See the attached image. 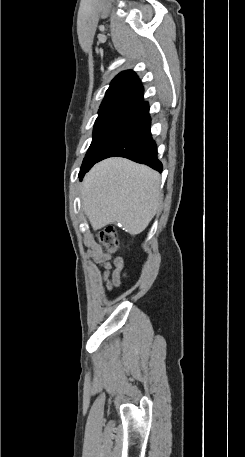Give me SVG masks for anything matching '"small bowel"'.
I'll return each instance as SVG.
<instances>
[{"label":"small bowel","mask_w":245,"mask_h":457,"mask_svg":"<svg viewBox=\"0 0 245 457\" xmlns=\"http://www.w3.org/2000/svg\"><path fill=\"white\" fill-rule=\"evenodd\" d=\"M110 256L101 255L97 257V262L103 273V278L107 289L113 290L120 286L122 279L126 276V267L122 258L117 257L113 263L109 262Z\"/></svg>","instance_id":"1"}]
</instances>
